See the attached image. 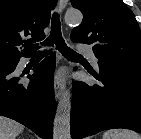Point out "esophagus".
Listing matches in <instances>:
<instances>
[{"instance_id": "obj_1", "label": "esophagus", "mask_w": 141, "mask_h": 139, "mask_svg": "<svg viewBox=\"0 0 141 139\" xmlns=\"http://www.w3.org/2000/svg\"><path fill=\"white\" fill-rule=\"evenodd\" d=\"M67 3H68V0H60L59 1V6H60L61 11L65 9ZM64 88H65V82L59 73L56 76L55 83H54V94H55L56 100H59L62 97L63 92H64Z\"/></svg>"}]
</instances>
